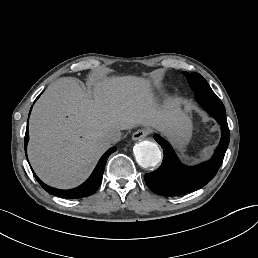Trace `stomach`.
Returning a JSON list of instances; mask_svg holds the SVG:
<instances>
[{
  "instance_id": "0dacf381",
  "label": "stomach",
  "mask_w": 258,
  "mask_h": 258,
  "mask_svg": "<svg viewBox=\"0 0 258 258\" xmlns=\"http://www.w3.org/2000/svg\"><path fill=\"white\" fill-rule=\"evenodd\" d=\"M192 135V121L188 115L182 119L181 126L178 129L177 133L174 136V140L179 144H186Z\"/></svg>"
}]
</instances>
